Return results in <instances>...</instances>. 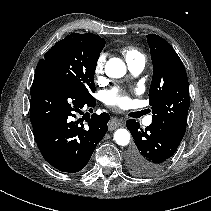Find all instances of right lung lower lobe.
Wrapping results in <instances>:
<instances>
[{
    "label": "right lung lower lobe",
    "instance_id": "1",
    "mask_svg": "<svg viewBox=\"0 0 211 211\" xmlns=\"http://www.w3.org/2000/svg\"><path fill=\"white\" fill-rule=\"evenodd\" d=\"M95 104L93 97H85L73 84L48 73H35L30 121L42 156L59 171L83 169L106 134L108 113H94L85 126L82 119H75L83 107Z\"/></svg>",
    "mask_w": 211,
    "mask_h": 211
}]
</instances>
